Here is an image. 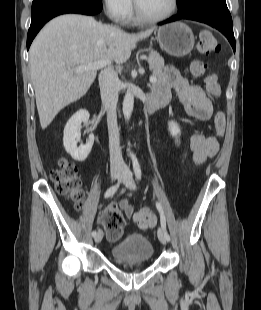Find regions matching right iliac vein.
I'll use <instances>...</instances> for the list:
<instances>
[{"instance_id":"right-iliac-vein-1","label":"right iliac vein","mask_w":261,"mask_h":310,"mask_svg":"<svg viewBox=\"0 0 261 310\" xmlns=\"http://www.w3.org/2000/svg\"><path fill=\"white\" fill-rule=\"evenodd\" d=\"M122 175V171L121 169L119 168H113L110 172V177H111V180H116V179H119ZM103 238V232L101 230H99L94 238L95 242L96 243H99L101 242Z\"/></svg>"}]
</instances>
